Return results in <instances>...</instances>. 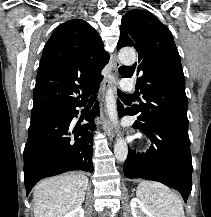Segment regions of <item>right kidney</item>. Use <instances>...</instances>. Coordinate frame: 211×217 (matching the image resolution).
Listing matches in <instances>:
<instances>
[{
	"label": "right kidney",
	"mask_w": 211,
	"mask_h": 217,
	"mask_svg": "<svg viewBox=\"0 0 211 217\" xmlns=\"http://www.w3.org/2000/svg\"><path fill=\"white\" fill-rule=\"evenodd\" d=\"M64 217H84V210L81 207H78L71 212L67 213Z\"/></svg>",
	"instance_id": "right-kidney-1"
}]
</instances>
